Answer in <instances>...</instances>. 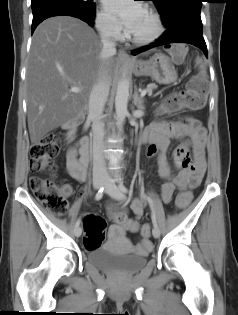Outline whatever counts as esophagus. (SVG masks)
I'll return each instance as SVG.
<instances>
[{
	"instance_id": "34e87169",
	"label": "esophagus",
	"mask_w": 238,
	"mask_h": 315,
	"mask_svg": "<svg viewBox=\"0 0 238 315\" xmlns=\"http://www.w3.org/2000/svg\"><path fill=\"white\" fill-rule=\"evenodd\" d=\"M118 58L122 61L132 62V59L130 58V56L123 50L119 51Z\"/></svg>"
}]
</instances>
